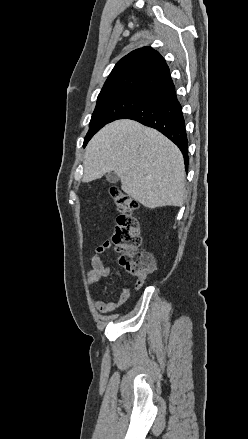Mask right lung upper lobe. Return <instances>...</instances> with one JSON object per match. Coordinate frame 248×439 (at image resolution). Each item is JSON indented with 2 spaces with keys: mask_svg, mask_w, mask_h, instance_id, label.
I'll list each match as a JSON object with an SVG mask.
<instances>
[{
  "mask_svg": "<svg viewBox=\"0 0 248 439\" xmlns=\"http://www.w3.org/2000/svg\"><path fill=\"white\" fill-rule=\"evenodd\" d=\"M173 85L164 58L151 47L130 52L117 62L98 97L134 92L149 97Z\"/></svg>",
  "mask_w": 248,
  "mask_h": 439,
  "instance_id": "1",
  "label": "right lung upper lobe"
}]
</instances>
